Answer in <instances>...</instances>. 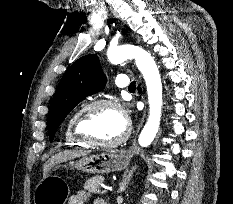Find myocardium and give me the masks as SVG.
Wrapping results in <instances>:
<instances>
[{
	"instance_id": "obj_1",
	"label": "myocardium",
	"mask_w": 233,
	"mask_h": 204,
	"mask_svg": "<svg viewBox=\"0 0 233 204\" xmlns=\"http://www.w3.org/2000/svg\"><path fill=\"white\" fill-rule=\"evenodd\" d=\"M100 107L114 108L123 116V118L125 120V125H126L125 130H124L123 134L120 137H118L117 139H114L111 141H97V140H94V139L88 137L86 134H84L82 132L81 126H82V122H83L84 118L86 117V115L90 111H92L96 108H100ZM72 132L77 139H79L80 141L84 142L87 145L104 147V148H111V147H116V146L124 143L128 139L130 132H131V127H130V123L127 119L126 112L120 103H118L117 101L112 100V99H99V100H94V101L87 103L79 111L76 112V114L73 118Z\"/></svg>"
}]
</instances>
